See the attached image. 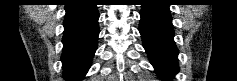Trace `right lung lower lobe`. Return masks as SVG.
Segmentation results:
<instances>
[{
	"label": "right lung lower lobe",
	"instance_id": "obj_1",
	"mask_svg": "<svg viewBox=\"0 0 237 81\" xmlns=\"http://www.w3.org/2000/svg\"><path fill=\"white\" fill-rule=\"evenodd\" d=\"M62 64L67 81H79L87 73L99 35L96 5L76 1L65 5Z\"/></svg>",
	"mask_w": 237,
	"mask_h": 81
}]
</instances>
